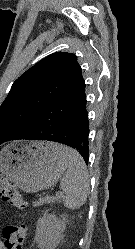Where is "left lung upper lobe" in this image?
Masks as SVG:
<instances>
[{
    "label": "left lung upper lobe",
    "mask_w": 135,
    "mask_h": 249,
    "mask_svg": "<svg viewBox=\"0 0 135 249\" xmlns=\"http://www.w3.org/2000/svg\"><path fill=\"white\" fill-rule=\"evenodd\" d=\"M84 82L76 55L56 52L24 72L0 106V144L31 125L34 116Z\"/></svg>",
    "instance_id": "5c2ea615"
}]
</instances>
